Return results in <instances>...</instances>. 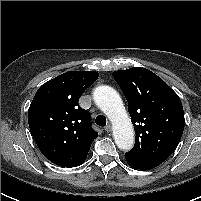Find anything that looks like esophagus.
I'll list each match as a JSON object with an SVG mask.
<instances>
[{"label": "esophagus", "mask_w": 201, "mask_h": 201, "mask_svg": "<svg viewBox=\"0 0 201 201\" xmlns=\"http://www.w3.org/2000/svg\"><path fill=\"white\" fill-rule=\"evenodd\" d=\"M104 130L109 133V132H111V130H112V126H111L110 124H108V125L104 128Z\"/></svg>", "instance_id": "34e87169"}]
</instances>
